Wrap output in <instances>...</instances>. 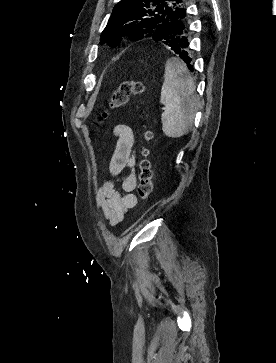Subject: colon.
I'll list each match as a JSON object with an SVG mask.
<instances>
[{
    "label": "colon",
    "instance_id": "1",
    "mask_svg": "<svg viewBox=\"0 0 276 363\" xmlns=\"http://www.w3.org/2000/svg\"><path fill=\"white\" fill-rule=\"evenodd\" d=\"M145 91V86L141 81L129 80L122 82L116 88L109 101V106L112 109H120L126 106L129 97L132 95H141ZM152 138L150 131L145 132L144 139L149 141ZM149 150L146 146H142L140 150V159L138 162L139 168V183H138V196L141 200L146 201L149 199L153 191V173L150 161L148 160Z\"/></svg>",
    "mask_w": 276,
    "mask_h": 363
}]
</instances>
